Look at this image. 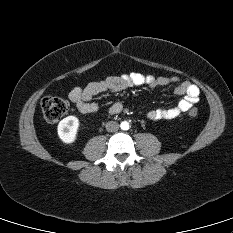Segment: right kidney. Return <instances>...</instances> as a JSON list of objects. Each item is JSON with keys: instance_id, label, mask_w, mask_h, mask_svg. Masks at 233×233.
<instances>
[{"instance_id": "right-kidney-1", "label": "right kidney", "mask_w": 233, "mask_h": 233, "mask_svg": "<svg viewBox=\"0 0 233 233\" xmlns=\"http://www.w3.org/2000/svg\"><path fill=\"white\" fill-rule=\"evenodd\" d=\"M79 128V120L76 116H68L58 124V136L66 144H71L76 140Z\"/></svg>"}]
</instances>
